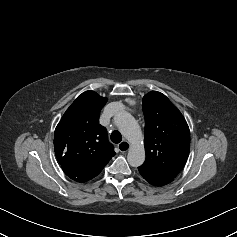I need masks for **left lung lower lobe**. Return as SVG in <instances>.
Masks as SVG:
<instances>
[{
	"instance_id": "obj_1",
	"label": "left lung lower lobe",
	"mask_w": 237,
	"mask_h": 237,
	"mask_svg": "<svg viewBox=\"0 0 237 237\" xmlns=\"http://www.w3.org/2000/svg\"><path fill=\"white\" fill-rule=\"evenodd\" d=\"M142 177L154 186H163L173 181L171 178L160 176L152 171L138 168Z\"/></svg>"
}]
</instances>
